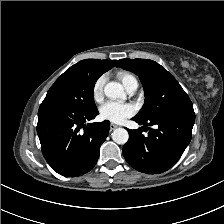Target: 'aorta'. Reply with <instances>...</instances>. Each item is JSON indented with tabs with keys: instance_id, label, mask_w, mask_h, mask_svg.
<instances>
[{
	"instance_id": "762f6f07",
	"label": "aorta",
	"mask_w": 224,
	"mask_h": 224,
	"mask_svg": "<svg viewBox=\"0 0 224 224\" xmlns=\"http://www.w3.org/2000/svg\"><path fill=\"white\" fill-rule=\"evenodd\" d=\"M105 95L110 99H125L126 94L123 86L117 82H109L104 87ZM112 139L117 144H125L129 139V134L124 128H117L112 132Z\"/></svg>"
}]
</instances>
